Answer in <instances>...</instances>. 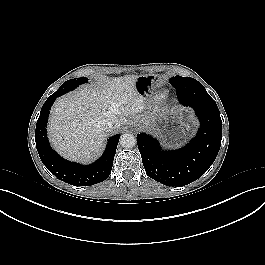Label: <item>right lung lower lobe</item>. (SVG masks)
Instances as JSON below:
<instances>
[{
  "mask_svg": "<svg viewBox=\"0 0 265 265\" xmlns=\"http://www.w3.org/2000/svg\"><path fill=\"white\" fill-rule=\"evenodd\" d=\"M55 96H49L45 101L35 130L37 151L47 169L59 180L75 186H90L102 182L109 176L115 156L119 134L108 140L106 150L96 162L83 166L61 158L49 145L47 139V121Z\"/></svg>",
  "mask_w": 265,
  "mask_h": 265,
  "instance_id": "1",
  "label": "right lung lower lobe"
}]
</instances>
